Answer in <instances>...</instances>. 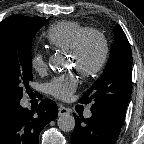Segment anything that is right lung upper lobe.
Here are the masks:
<instances>
[{
    "mask_svg": "<svg viewBox=\"0 0 144 144\" xmlns=\"http://www.w3.org/2000/svg\"><path fill=\"white\" fill-rule=\"evenodd\" d=\"M14 105L0 91V117L10 111Z\"/></svg>",
    "mask_w": 144,
    "mask_h": 144,
    "instance_id": "obj_1",
    "label": "right lung upper lobe"
}]
</instances>
